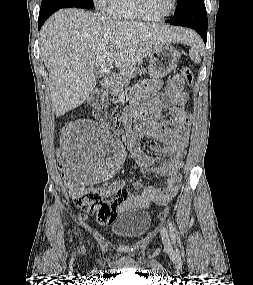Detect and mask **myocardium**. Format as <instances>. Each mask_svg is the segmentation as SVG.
Returning <instances> with one entry per match:
<instances>
[{"label":"myocardium","instance_id":"obj_1","mask_svg":"<svg viewBox=\"0 0 253 285\" xmlns=\"http://www.w3.org/2000/svg\"><path fill=\"white\" fill-rule=\"evenodd\" d=\"M134 5H135V8H136L139 16L142 19L148 20V21H161V20H164V19H166V18H168L174 14V12L177 9L178 0H173L172 7H171L170 11L164 15H161V16H150V15H148L144 10L142 0H134Z\"/></svg>","mask_w":253,"mask_h":285}]
</instances>
